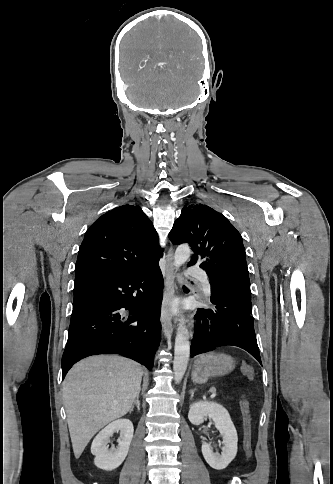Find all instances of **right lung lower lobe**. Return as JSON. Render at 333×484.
<instances>
[{
  "mask_svg": "<svg viewBox=\"0 0 333 484\" xmlns=\"http://www.w3.org/2000/svg\"><path fill=\"white\" fill-rule=\"evenodd\" d=\"M163 278L158 262L130 276L75 280L62 379L82 358L121 354L152 369L159 339Z\"/></svg>",
  "mask_w": 333,
  "mask_h": 484,
  "instance_id": "98d812e1",
  "label": "right lung lower lobe"
}]
</instances>
